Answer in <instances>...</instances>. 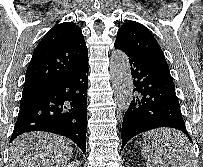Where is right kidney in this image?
I'll return each mask as SVG.
<instances>
[{
	"label": "right kidney",
	"mask_w": 203,
	"mask_h": 167,
	"mask_svg": "<svg viewBox=\"0 0 203 167\" xmlns=\"http://www.w3.org/2000/svg\"><path fill=\"white\" fill-rule=\"evenodd\" d=\"M64 167H81V164L79 161H72V162H69Z\"/></svg>",
	"instance_id": "right-kidney-1"
}]
</instances>
